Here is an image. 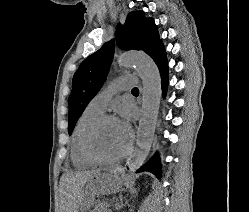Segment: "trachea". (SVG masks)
I'll use <instances>...</instances> for the list:
<instances>
[{"instance_id":"3493384b","label":"trachea","mask_w":249,"mask_h":212,"mask_svg":"<svg viewBox=\"0 0 249 212\" xmlns=\"http://www.w3.org/2000/svg\"><path fill=\"white\" fill-rule=\"evenodd\" d=\"M132 90H139L137 87H134Z\"/></svg>"}]
</instances>
